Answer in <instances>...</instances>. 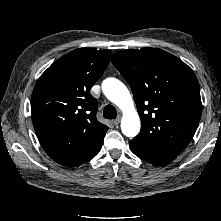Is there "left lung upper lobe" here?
<instances>
[{
	"instance_id": "5c2ea615",
	"label": "left lung upper lobe",
	"mask_w": 221,
	"mask_h": 221,
	"mask_svg": "<svg viewBox=\"0 0 221 221\" xmlns=\"http://www.w3.org/2000/svg\"><path fill=\"white\" fill-rule=\"evenodd\" d=\"M111 61L130 85L142 122L130 143L136 147L178 155L192 140L202 104L192 69L157 48L120 51Z\"/></svg>"
}]
</instances>
